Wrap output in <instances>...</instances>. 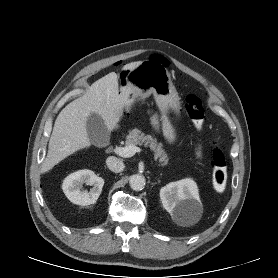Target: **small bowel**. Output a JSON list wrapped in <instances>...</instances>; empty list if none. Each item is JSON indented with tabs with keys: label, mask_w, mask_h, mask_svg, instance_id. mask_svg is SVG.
Wrapping results in <instances>:
<instances>
[{
	"label": "small bowel",
	"mask_w": 278,
	"mask_h": 278,
	"mask_svg": "<svg viewBox=\"0 0 278 278\" xmlns=\"http://www.w3.org/2000/svg\"><path fill=\"white\" fill-rule=\"evenodd\" d=\"M153 123L156 125L157 121L155 118H153Z\"/></svg>",
	"instance_id": "c3829d8e"
}]
</instances>
